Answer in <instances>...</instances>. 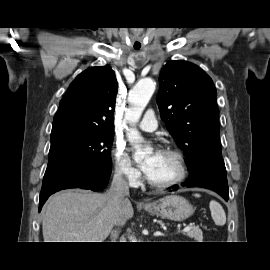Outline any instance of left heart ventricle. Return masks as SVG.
Masks as SVG:
<instances>
[{
	"instance_id": "b2bd125f",
	"label": "left heart ventricle",
	"mask_w": 270,
	"mask_h": 270,
	"mask_svg": "<svg viewBox=\"0 0 270 270\" xmlns=\"http://www.w3.org/2000/svg\"><path fill=\"white\" fill-rule=\"evenodd\" d=\"M178 163L173 156L161 153L148 177L158 183L172 180L178 175Z\"/></svg>"
}]
</instances>
